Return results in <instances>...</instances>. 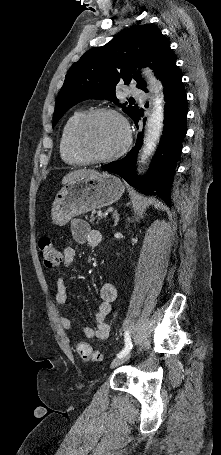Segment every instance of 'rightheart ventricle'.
I'll use <instances>...</instances> for the list:
<instances>
[{
  "label": "right heart ventricle",
  "instance_id": "obj_1",
  "mask_svg": "<svg viewBox=\"0 0 221 455\" xmlns=\"http://www.w3.org/2000/svg\"><path fill=\"white\" fill-rule=\"evenodd\" d=\"M85 113V110L75 111L65 122L61 133L60 154L62 159L72 166H82L88 163L87 160L77 152L73 143L75 125Z\"/></svg>",
  "mask_w": 221,
  "mask_h": 455
}]
</instances>
